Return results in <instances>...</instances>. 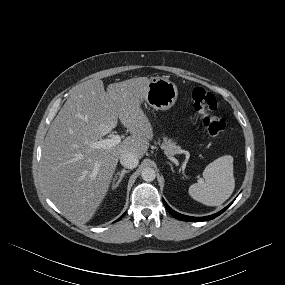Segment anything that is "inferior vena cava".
Wrapping results in <instances>:
<instances>
[{
    "mask_svg": "<svg viewBox=\"0 0 285 285\" xmlns=\"http://www.w3.org/2000/svg\"><path fill=\"white\" fill-rule=\"evenodd\" d=\"M138 162V158L131 152H126L120 157V163L122 164V166L128 169H133L137 167Z\"/></svg>",
    "mask_w": 285,
    "mask_h": 285,
    "instance_id": "602c4592",
    "label": "inferior vena cava"
}]
</instances>
